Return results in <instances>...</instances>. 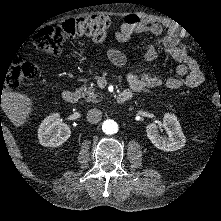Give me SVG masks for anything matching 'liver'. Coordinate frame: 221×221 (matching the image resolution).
I'll use <instances>...</instances> for the list:
<instances>
[{
  "mask_svg": "<svg viewBox=\"0 0 221 221\" xmlns=\"http://www.w3.org/2000/svg\"><path fill=\"white\" fill-rule=\"evenodd\" d=\"M30 106L31 99L17 92L6 93L1 103L4 113L16 127H20L26 122L31 112Z\"/></svg>",
  "mask_w": 221,
  "mask_h": 221,
  "instance_id": "6515ba94",
  "label": "liver"
}]
</instances>
